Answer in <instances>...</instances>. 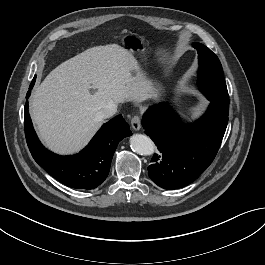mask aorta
I'll return each instance as SVG.
<instances>
[{
	"label": "aorta",
	"mask_w": 265,
	"mask_h": 265,
	"mask_svg": "<svg viewBox=\"0 0 265 265\" xmlns=\"http://www.w3.org/2000/svg\"><path fill=\"white\" fill-rule=\"evenodd\" d=\"M132 150L140 155H152L155 150L154 142L146 135L134 134L130 137Z\"/></svg>",
	"instance_id": "1"
}]
</instances>
